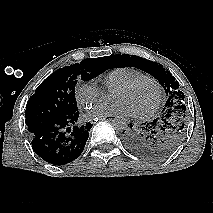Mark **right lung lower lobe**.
Instances as JSON below:
<instances>
[{
    "label": "right lung lower lobe",
    "instance_id": "right-lung-lower-lobe-1",
    "mask_svg": "<svg viewBox=\"0 0 213 213\" xmlns=\"http://www.w3.org/2000/svg\"><path fill=\"white\" fill-rule=\"evenodd\" d=\"M79 112L37 125L31 132L33 150L43 160L65 165L78 158L93 124H78Z\"/></svg>",
    "mask_w": 213,
    "mask_h": 213
}]
</instances>
